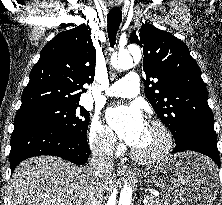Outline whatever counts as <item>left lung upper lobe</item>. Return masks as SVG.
<instances>
[{"instance_id":"1","label":"left lung upper lobe","mask_w":222,"mask_h":205,"mask_svg":"<svg viewBox=\"0 0 222 205\" xmlns=\"http://www.w3.org/2000/svg\"><path fill=\"white\" fill-rule=\"evenodd\" d=\"M130 41L143 48L145 96L175 140L191 130L215 134L207 88L186 44L149 23Z\"/></svg>"}]
</instances>
